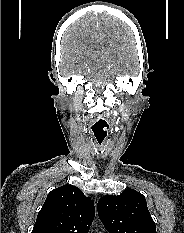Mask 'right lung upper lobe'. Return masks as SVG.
<instances>
[{"label": "right lung upper lobe", "instance_id": "obj_1", "mask_svg": "<svg viewBox=\"0 0 184 233\" xmlns=\"http://www.w3.org/2000/svg\"><path fill=\"white\" fill-rule=\"evenodd\" d=\"M95 216L94 202L73 185L49 192L32 233H88Z\"/></svg>", "mask_w": 184, "mask_h": 233}]
</instances>
